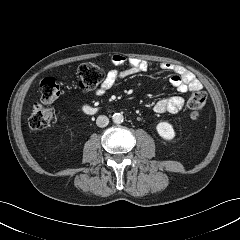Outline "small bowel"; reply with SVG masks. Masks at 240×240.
I'll return each mask as SVG.
<instances>
[{
  "instance_id": "obj_1",
  "label": "small bowel",
  "mask_w": 240,
  "mask_h": 240,
  "mask_svg": "<svg viewBox=\"0 0 240 240\" xmlns=\"http://www.w3.org/2000/svg\"><path fill=\"white\" fill-rule=\"evenodd\" d=\"M111 63L120 69H112L105 75L100 87L96 90V95H103L108 90L113 88L117 82L123 78L131 75L144 73L148 70L149 64L145 60L138 58H128L124 55L115 54L111 57ZM159 68L165 72H171L170 84L179 92L186 93L188 91H195L201 89V83L196 77L181 66L162 62ZM184 106V99L181 96L165 97L152 106L155 113H176Z\"/></svg>"
}]
</instances>
